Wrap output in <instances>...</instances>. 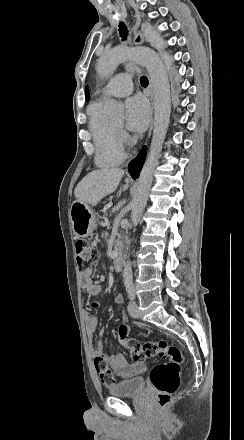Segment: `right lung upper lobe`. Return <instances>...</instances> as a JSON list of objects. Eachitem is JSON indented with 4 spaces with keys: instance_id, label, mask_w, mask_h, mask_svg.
Wrapping results in <instances>:
<instances>
[{
    "instance_id": "right-lung-upper-lobe-1",
    "label": "right lung upper lobe",
    "mask_w": 244,
    "mask_h": 440,
    "mask_svg": "<svg viewBox=\"0 0 244 440\" xmlns=\"http://www.w3.org/2000/svg\"><path fill=\"white\" fill-rule=\"evenodd\" d=\"M85 97H86V100L89 99V92H88V88L87 87H86V90H85Z\"/></svg>"
}]
</instances>
